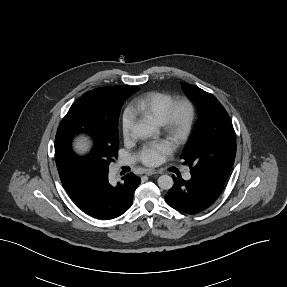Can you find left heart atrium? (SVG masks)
Segmentation results:
<instances>
[{
	"label": "left heart atrium",
	"mask_w": 287,
	"mask_h": 287,
	"mask_svg": "<svg viewBox=\"0 0 287 287\" xmlns=\"http://www.w3.org/2000/svg\"><path fill=\"white\" fill-rule=\"evenodd\" d=\"M173 150V146L166 141L152 142L145 145L141 151V161L149 166L159 165L166 155Z\"/></svg>",
	"instance_id": "left-heart-atrium-1"
}]
</instances>
